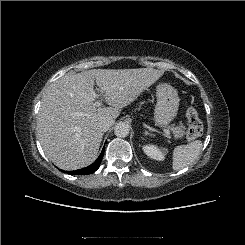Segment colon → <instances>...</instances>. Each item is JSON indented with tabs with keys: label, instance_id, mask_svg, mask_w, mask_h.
Here are the masks:
<instances>
[{
	"label": "colon",
	"instance_id": "5ec220e1",
	"mask_svg": "<svg viewBox=\"0 0 245 245\" xmlns=\"http://www.w3.org/2000/svg\"><path fill=\"white\" fill-rule=\"evenodd\" d=\"M186 117L188 121L186 138L190 141L195 140L202 134V122L194 107L187 108Z\"/></svg>",
	"mask_w": 245,
	"mask_h": 245
}]
</instances>
